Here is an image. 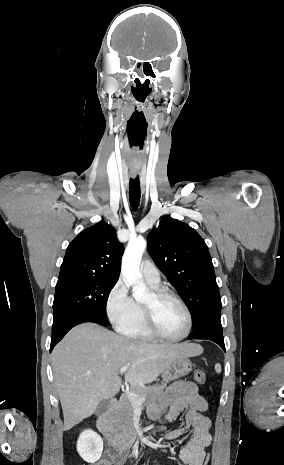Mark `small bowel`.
I'll list each match as a JSON object with an SVG mask.
<instances>
[{
    "mask_svg": "<svg viewBox=\"0 0 284 465\" xmlns=\"http://www.w3.org/2000/svg\"><path fill=\"white\" fill-rule=\"evenodd\" d=\"M208 410L206 400L200 395L197 385L191 381H176L169 385L158 400L149 408L148 416L153 423H170L186 411L184 423L169 431L166 440H176L191 428L193 432L178 453L182 465H203L205 448L212 441L211 421L204 415ZM127 450H121L117 457L125 460ZM113 455L106 451L98 465H110Z\"/></svg>",
    "mask_w": 284,
    "mask_h": 465,
    "instance_id": "obj_1",
    "label": "small bowel"
}]
</instances>
